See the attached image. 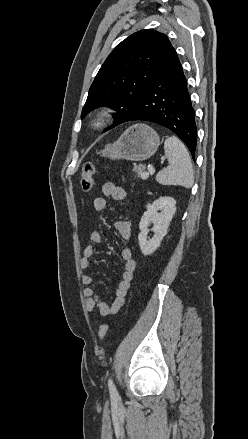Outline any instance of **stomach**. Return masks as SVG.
Returning <instances> with one entry per match:
<instances>
[{"label":"stomach","instance_id":"1","mask_svg":"<svg viewBox=\"0 0 248 439\" xmlns=\"http://www.w3.org/2000/svg\"><path fill=\"white\" fill-rule=\"evenodd\" d=\"M160 145L159 135L146 124L129 127L121 137L101 151L102 156L112 160L144 161L150 158Z\"/></svg>","mask_w":248,"mask_h":439}]
</instances>
